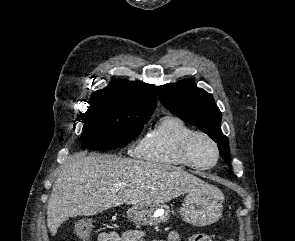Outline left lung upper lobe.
<instances>
[{"mask_svg": "<svg viewBox=\"0 0 295 241\" xmlns=\"http://www.w3.org/2000/svg\"><path fill=\"white\" fill-rule=\"evenodd\" d=\"M160 102L179 116L208 134L218 145L220 155L230 165L229 140L221 131L222 114L211 94L197 88L192 80H182L157 87Z\"/></svg>", "mask_w": 295, "mask_h": 241, "instance_id": "1", "label": "left lung upper lobe"}]
</instances>
